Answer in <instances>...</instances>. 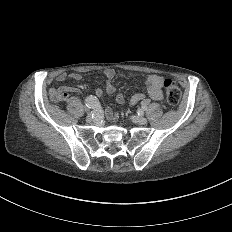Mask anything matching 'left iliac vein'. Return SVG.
Returning <instances> with one entry per match:
<instances>
[{"mask_svg":"<svg viewBox=\"0 0 232 232\" xmlns=\"http://www.w3.org/2000/svg\"><path fill=\"white\" fill-rule=\"evenodd\" d=\"M130 119L133 124H139L140 126H146L148 124L146 119L140 118L138 115H131Z\"/></svg>","mask_w":232,"mask_h":232,"instance_id":"left-iliac-vein-1","label":"left iliac vein"}]
</instances>
